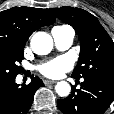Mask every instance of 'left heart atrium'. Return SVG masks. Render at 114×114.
Returning <instances> with one entry per match:
<instances>
[{
    "label": "left heart atrium",
    "instance_id": "1",
    "mask_svg": "<svg viewBox=\"0 0 114 114\" xmlns=\"http://www.w3.org/2000/svg\"><path fill=\"white\" fill-rule=\"evenodd\" d=\"M72 67V61L69 57L63 56L48 61L38 67V70L47 77L57 78L62 76Z\"/></svg>",
    "mask_w": 114,
    "mask_h": 114
}]
</instances>
